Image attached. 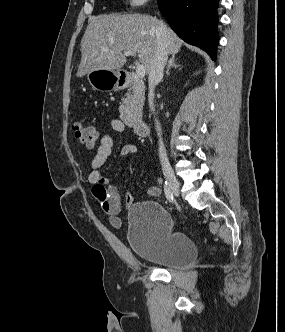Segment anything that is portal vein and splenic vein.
I'll return each instance as SVG.
<instances>
[{
    "label": "portal vein and splenic vein",
    "instance_id": "portal-vein-and-splenic-vein-1",
    "mask_svg": "<svg viewBox=\"0 0 285 332\" xmlns=\"http://www.w3.org/2000/svg\"><path fill=\"white\" fill-rule=\"evenodd\" d=\"M125 56H135L136 52L134 51H124ZM146 70L144 65L138 64L136 67V75L138 78L142 79L145 76Z\"/></svg>",
    "mask_w": 285,
    "mask_h": 332
}]
</instances>
